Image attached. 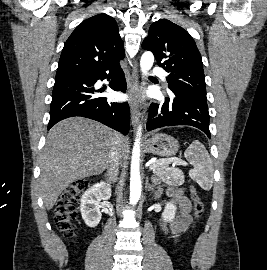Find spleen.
Returning <instances> with one entry per match:
<instances>
[{
	"label": "spleen",
	"mask_w": 267,
	"mask_h": 270,
	"mask_svg": "<svg viewBox=\"0 0 267 270\" xmlns=\"http://www.w3.org/2000/svg\"><path fill=\"white\" fill-rule=\"evenodd\" d=\"M185 158L192 164L193 169L189 171L192 180L204 190L208 191L213 185V163L208 151L204 145L195 140L184 153ZM175 185H181L184 182L183 173L173 169Z\"/></svg>",
	"instance_id": "spleen-1"
}]
</instances>
